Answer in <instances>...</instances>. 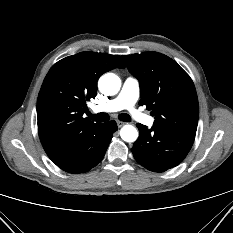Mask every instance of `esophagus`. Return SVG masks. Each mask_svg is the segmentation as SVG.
<instances>
[{
    "label": "esophagus",
    "mask_w": 233,
    "mask_h": 233,
    "mask_svg": "<svg viewBox=\"0 0 233 233\" xmlns=\"http://www.w3.org/2000/svg\"><path fill=\"white\" fill-rule=\"evenodd\" d=\"M116 123H117V126L119 128L125 125V122H122V121H119V120H117Z\"/></svg>",
    "instance_id": "obj_1"
}]
</instances>
